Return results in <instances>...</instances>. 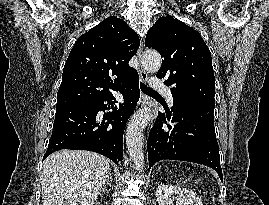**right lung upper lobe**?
I'll return each instance as SVG.
<instances>
[{
  "instance_id": "right-lung-upper-lobe-1",
  "label": "right lung upper lobe",
  "mask_w": 269,
  "mask_h": 205,
  "mask_svg": "<svg viewBox=\"0 0 269 205\" xmlns=\"http://www.w3.org/2000/svg\"><path fill=\"white\" fill-rule=\"evenodd\" d=\"M140 40L122 19L108 17L75 42L64 66L57 106L96 100L136 75L128 65ZM110 76H116L111 81Z\"/></svg>"
}]
</instances>
